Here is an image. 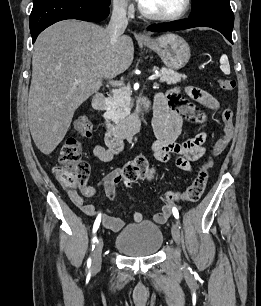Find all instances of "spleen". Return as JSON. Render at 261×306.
<instances>
[{
	"instance_id": "obj_1",
	"label": "spleen",
	"mask_w": 261,
	"mask_h": 306,
	"mask_svg": "<svg viewBox=\"0 0 261 306\" xmlns=\"http://www.w3.org/2000/svg\"><path fill=\"white\" fill-rule=\"evenodd\" d=\"M220 68L222 70V72L226 75L230 74V65H229V61H228V57L223 54L220 58Z\"/></svg>"
}]
</instances>
